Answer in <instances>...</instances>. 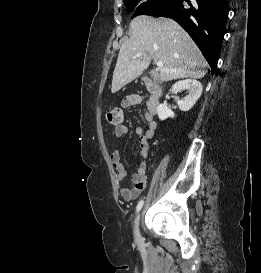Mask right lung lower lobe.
<instances>
[{"label": "right lung lower lobe", "instance_id": "98d812e1", "mask_svg": "<svg viewBox=\"0 0 261 273\" xmlns=\"http://www.w3.org/2000/svg\"><path fill=\"white\" fill-rule=\"evenodd\" d=\"M228 12V0H171L151 16L168 17L178 22L195 41L214 74L226 33Z\"/></svg>", "mask_w": 261, "mask_h": 273}]
</instances>
